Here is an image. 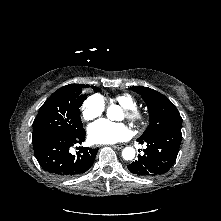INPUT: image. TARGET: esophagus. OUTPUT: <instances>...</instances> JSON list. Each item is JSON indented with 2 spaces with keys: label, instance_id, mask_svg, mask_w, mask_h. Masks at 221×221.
<instances>
[{
  "label": "esophagus",
  "instance_id": "1",
  "mask_svg": "<svg viewBox=\"0 0 221 221\" xmlns=\"http://www.w3.org/2000/svg\"><path fill=\"white\" fill-rule=\"evenodd\" d=\"M126 146V144H117V145H113L112 147L114 148V149H122V148H124Z\"/></svg>",
  "mask_w": 221,
  "mask_h": 221
}]
</instances>
